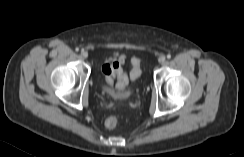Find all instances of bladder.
Returning a JSON list of instances; mask_svg holds the SVG:
<instances>
[{"label": "bladder", "instance_id": "1", "mask_svg": "<svg viewBox=\"0 0 244 157\" xmlns=\"http://www.w3.org/2000/svg\"><path fill=\"white\" fill-rule=\"evenodd\" d=\"M104 90H105L106 92L110 93V94H113V93H114L113 90L108 89V88H104Z\"/></svg>", "mask_w": 244, "mask_h": 157}]
</instances>
